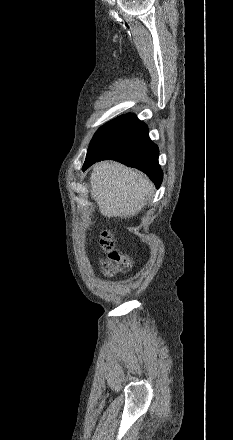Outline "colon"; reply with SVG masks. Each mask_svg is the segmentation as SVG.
Instances as JSON below:
<instances>
[{"mask_svg":"<svg viewBox=\"0 0 233 440\" xmlns=\"http://www.w3.org/2000/svg\"><path fill=\"white\" fill-rule=\"evenodd\" d=\"M100 244L106 254V258L100 263L103 273L113 276L131 266L130 260L116 249L114 237L110 232L104 231L101 234Z\"/></svg>","mask_w":233,"mask_h":440,"instance_id":"1","label":"colon"}]
</instances>
